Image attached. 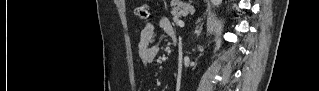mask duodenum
I'll return each mask as SVG.
<instances>
[{"instance_id": "410a0bca", "label": "duodenum", "mask_w": 319, "mask_h": 91, "mask_svg": "<svg viewBox=\"0 0 319 91\" xmlns=\"http://www.w3.org/2000/svg\"><path fill=\"white\" fill-rule=\"evenodd\" d=\"M171 38H172L173 44H176V43H177V36H176V34L173 35Z\"/></svg>"}]
</instances>
